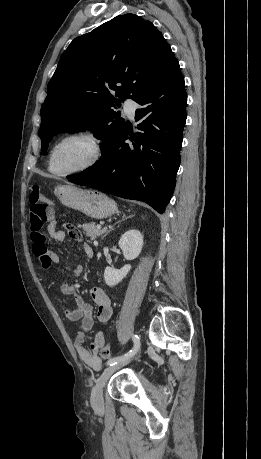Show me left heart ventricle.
Here are the masks:
<instances>
[{
	"instance_id": "left-heart-ventricle-1",
	"label": "left heart ventricle",
	"mask_w": 261,
	"mask_h": 459,
	"mask_svg": "<svg viewBox=\"0 0 261 459\" xmlns=\"http://www.w3.org/2000/svg\"><path fill=\"white\" fill-rule=\"evenodd\" d=\"M91 155V146L84 139H70L55 150L52 157V169L66 172L85 163Z\"/></svg>"
}]
</instances>
